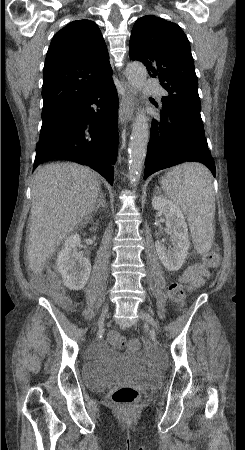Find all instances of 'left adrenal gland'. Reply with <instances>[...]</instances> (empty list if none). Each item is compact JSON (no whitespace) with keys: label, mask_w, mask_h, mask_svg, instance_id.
<instances>
[{"label":"left adrenal gland","mask_w":245,"mask_h":450,"mask_svg":"<svg viewBox=\"0 0 245 450\" xmlns=\"http://www.w3.org/2000/svg\"><path fill=\"white\" fill-rule=\"evenodd\" d=\"M155 189H156V191H159V188H158V187H156Z\"/></svg>","instance_id":"1"}]
</instances>
